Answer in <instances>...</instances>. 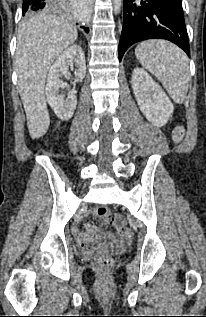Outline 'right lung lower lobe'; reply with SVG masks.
<instances>
[{
    "mask_svg": "<svg viewBox=\"0 0 206 317\" xmlns=\"http://www.w3.org/2000/svg\"><path fill=\"white\" fill-rule=\"evenodd\" d=\"M56 1L57 0H25L24 5L26 6V11L29 12L61 10L65 3L56 4ZM84 29L86 32H88V28L84 27Z\"/></svg>",
    "mask_w": 206,
    "mask_h": 317,
    "instance_id": "right-lung-lower-lobe-1",
    "label": "right lung lower lobe"
}]
</instances>
